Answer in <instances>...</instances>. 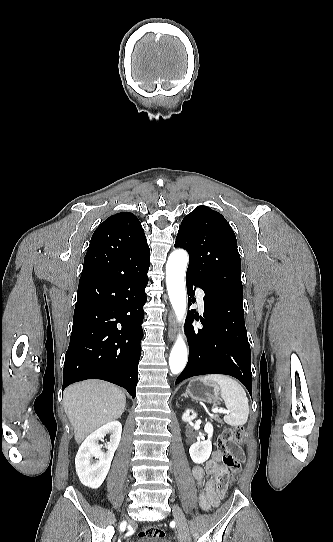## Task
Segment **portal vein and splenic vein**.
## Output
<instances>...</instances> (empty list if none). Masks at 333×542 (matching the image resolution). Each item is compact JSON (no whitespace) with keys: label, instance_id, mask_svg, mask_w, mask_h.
Wrapping results in <instances>:
<instances>
[{"label":"portal vein and splenic vein","instance_id":"obj_1","mask_svg":"<svg viewBox=\"0 0 333 542\" xmlns=\"http://www.w3.org/2000/svg\"><path fill=\"white\" fill-rule=\"evenodd\" d=\"M211 412H214V414H217V412H226V414H228V410H218V408H213V410H211Z\"/></svg>","mask_w":333,"mask_h":542}]
</instances>
